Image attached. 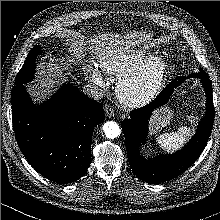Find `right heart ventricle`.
<instances>
[{
  "instance_id": "right-heart-ventricle-1",
  "label": "right heart ventricle",
  "mask_w": 220,
  "mask_h": 220,
  "mask_svg": "<svg viewBox=\"0 0 220 220\" xmlns=\"http://www.w3.org/2000/svg\"><path fill=\"white\" fill-rule=\"evenodd\" d=\"M149 55L150 53L144 50L113 54L101 60L100 70L103 74L119 78L136 68Z\"/></svg>"
}]
</instances>
